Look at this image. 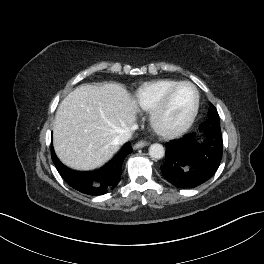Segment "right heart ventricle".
Returning <instances> with one entry per match:
<instances>
[{"mask_svg":"<svg viewBox=\"0 0 264 264\" xmlns=\"http://www.w3.org/2000/svg\"><path fill=\"white\" fill-rule=\"evenodd\" d=\"M177 82L174 79H159L141 85L134 92L135 104L142 111H151L162 99L165 92Z\"/></svg>","mask_w":264,"mask_h":264,"instance_id":"e07e8e85","label":"right heart ventricle"}]
</instances>
